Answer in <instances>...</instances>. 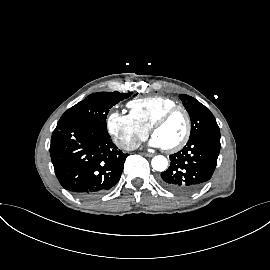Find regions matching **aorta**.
<instances>
[{
	"instance_id": "aorta-1",
	"label": "aorta",
	"mask_w": 270,
	"mask_h": 270,
	"mask_svg": "<svg viewBox=\"0 0 270 270\" xmlns=\"http://www.w3.org/2000/svg\"><path fill=\"white\" fill-rule=\"evenodd\" d=\"M151 165L154 170L162 172L167 169L168 161L166 157L162 155H158V156L153 157L151 161Z\"/></svg>"
}]
</instances>
